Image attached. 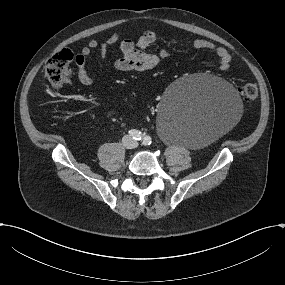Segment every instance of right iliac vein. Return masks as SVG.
I'll return each instance as SVG.
<instances>
[{
	"mask_svg": "<svg viewBox=\"0 0 285 285\" xmlns=\"http://www.w3.org/2000/svg\"><path fill=\"white\" fill-rule=\"evenodd\" d=\"M122 143L126 148H130L133 146V141L129 136H124L122 139Z\"/></svg>",
	"mask_w": 285,
	"mask_h": 285,
	"instance_id": "right-iliac-vein-1",
	"label": "right iliac vein"
}]
</instances>
